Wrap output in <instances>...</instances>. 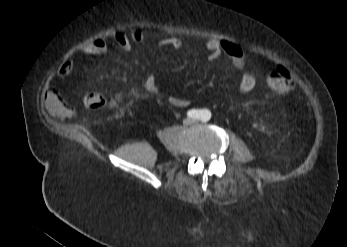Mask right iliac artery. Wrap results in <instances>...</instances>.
I'll return each mask as SVG.
<instances>
[{
	"label": "right iliac artery",
	"instance_id": "right-iliac-artery-1",
	"mask_svg": "<svg viewBox=\"0 0 347 247\" xmlns=\"http://www.w3.org/2000/svg\"><path fill=\"white\" fill-rule=\"evenodd\" d=\"M201 115H202V111L198 109H192L187 112V116L192 119H200Z\"/></svg>",
	"mask_w": 347,
	"mask_h": 247
}]
</instances>
